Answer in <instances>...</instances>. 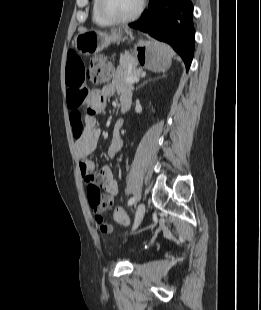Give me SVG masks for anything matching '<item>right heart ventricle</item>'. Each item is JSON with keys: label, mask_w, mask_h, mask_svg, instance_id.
Here are the masks:
<instances>
[{"label": "right heart ventricle", "mask_w": 261, "mask_h": 310, "mask_svg": "<svg viewBox=\"0 0 261 310\" xmlns=\"http://www.w3.org/2000/svg\"><path fill=\"white\" fill-rule=\"evenodd\" d=\"M92 19L94 23L100 27H108L111 24L107 21H105L98 13L97 10V1L93 0L92 2Z\"/></svg>", "instance_id": "obj_1"}]
</instances>
